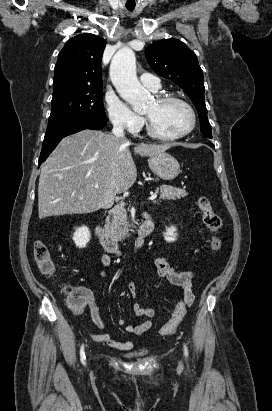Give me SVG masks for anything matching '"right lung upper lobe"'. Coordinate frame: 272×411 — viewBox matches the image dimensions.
I'll list each match as a JSON object with an SVG mask.
<instances>
[{
	"instance_id": "obj_1",
	"label": "right lung upper lobe",
	"mask_w": 272,
	"mask_h": 411,
	"mask_svg": "<svg viewBox=\"0 0 272 411\" xmlns=\"http://www.w3.org/2000/svg\"><path fill=\"white\" fill-rule=\"evenodd\" d=\"M105 44L104 39L90 33L68 40L55 66L53 94L70 88L102 86Z\"/></svg>"
}]
</instances>
